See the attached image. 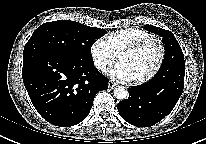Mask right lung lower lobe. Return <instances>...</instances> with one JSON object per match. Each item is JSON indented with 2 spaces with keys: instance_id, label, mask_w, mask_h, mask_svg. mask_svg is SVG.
I'll return each mask as SVG.
<instances>
[{
  "instance_id": "98d812e1",
  "label": "right lung lower lobe",
  "mask_w": 206,
  "mask_h": 144,
  "mask_svg": "<svg viewBox=\"0 0 206 144\" xmlns=\"http://www.w3.org/2000/svg\"><path fill=\"white\" fill-rule=\"evenodd\" d=\"M22 77L35 109L59 127L83 121L96 93L108 89V79L92 61L45 52L23 56Z\"/></svg>"
}]
</instances>
